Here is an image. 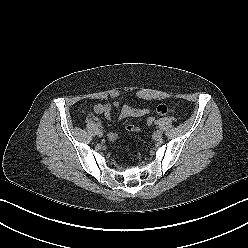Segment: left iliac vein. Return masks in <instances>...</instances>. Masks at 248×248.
I'll return each instance as SVG.
<instances>
[{
  "mask_svg": "<svg viewBox=\"0 0 248 248\" xmlns=\"http://www.w3.org/2000/svg\"><path fill=\"white\" fill-rule=\"evenodd\" d=\"M161 137H162V131H161V130H157V131L154 133V139L160 140Z\"/></svg>",
  "mask_w": 248,
  "mask_h": 248,
  "instance_id": "left-iliac-vein-1",
  "label": "left iliac vein"
}]
</instances>
